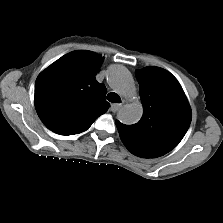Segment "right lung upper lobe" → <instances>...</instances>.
I'll use <instances>...</instances> for the list:
<instances>
[{
    "mask_svg": "<svg viewBox=\"0 0 223 223\" xmlns=\"http://www.w3.org/2000/svg\"><path fill=\"white\" fill-rule=\"evenodd\" d=\"M104 58L71 52L45 69L35 83V108L44 125L60 135L87 130L110 107L106 87L95 76Z\"/></svg>",
    "mask_w": 223,
    "mask_h": 223,
    "instance_id": "cb5924a9",
    "label": "right lung upper lobe"
}]
</instances>
